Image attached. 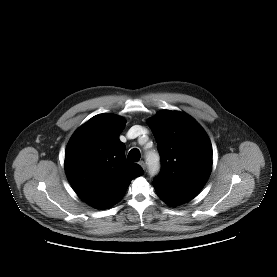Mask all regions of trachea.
Returning a JSON list of instances; mask_svg holds the SVG:
<instances>
[{"instance_id": "3493384b", "label": "trachea", "mask_w": 277, "mask_h": 277, "mask_svg": "<svg viewBox=\"0 0 277 277\" xmlns=\"http://www.w3.org/2000/svg\"><path fill=\"white\" fill-rule=\"evenodd\" d=\"M140 151L136 148L130 150V152L128 153V159L132 162H137L140 160Z\"/></svg>"}]
</instances>
